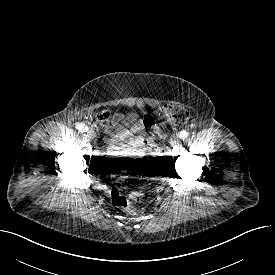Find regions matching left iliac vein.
<instances>
[{"mask_svg":"<svg viewBox=\"0 0 275 275\" xmlns=\"http://www.w3.org/2000/svg\"><path fill=\"white\" fill-rule=\"evenodd\" d=\"M179 143V137L174 135L172 138H171V144L172 145H177Z\"/></svg>","mask_w":275,"mask_h":275,"instance_id":"obj_1","label":"left iliac vein"}]
</instances>
